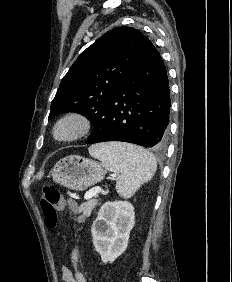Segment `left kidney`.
I'll list each match as a JSON object with an SVG mask.
<instances>
[{
    "instance_id": "5707ae66",
    "label": "left kidney",
    "mask_w": 232,
    "mask_h": 282,
    "mask_svg": "<svg viewBox=\"0 0 232 282\" xmlns=\"http://www.w3.org/2000/svg\"><path fill=\"white\" fill-rule=\"evenodd\" d=\"M134 223L135 212L131 203L109 201L103 204L91 233L95 250L104 263H112L126 250Z\"/></svg>"
}]
</instances>
